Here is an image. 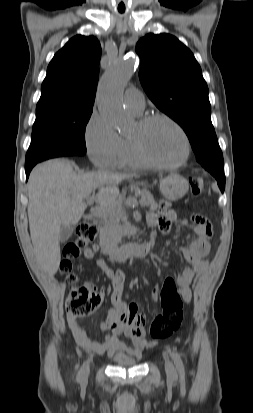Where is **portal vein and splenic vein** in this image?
Listing matches in <instances>:
<instances>
[{"label": "portal vein and splenic vein", "mask_w": 253, "mask_h": 413, "mask_svg": "<svg viewBox=\"0 0 253 413\" xmlns=\"http://www.w3.org/2000/svg\"><path fill=\"white\" fill-rule=\"evenodd\" d=\"M86 201H87V204H92L93 203V200H92V198L90 197V196H88L87 198H86ZM141 204V203H140ZM142 206H143V204H141ZM100 212H103V208L100 210Z\"/></svg>", "instance_id": "portal-vein-and-splenic-vein-1"}]
</instances>
